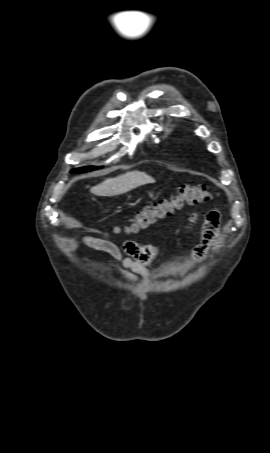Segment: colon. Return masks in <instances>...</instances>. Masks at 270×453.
<instances>
[{"mask_svg":"<svg viewBox=\"0 0 270 453\" xmlns=\"http://www.w3.org/2000/svg\"><path fill=\"white\" fill-rule=\"evenodd\" d=\"M212 199V192L204 185H182L171 198L160 200L153 206L145 207L137 212L123 230L126 233L137 232L153 224L158 219L172 215L175 210L182 208L185 204L195 205ZM116 231L119 232L120 229L117 228Z\"/></svg>","mask_w":270,"mask_h":453,"instance_id":"obj_1","label":"colon"}]
</instances>
